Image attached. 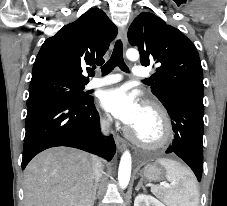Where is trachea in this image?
Segmentation results:
<instances>
[{
    "mask_svg": "<svg viewBox=\"0 0 227 206\" xmlns=\"http://www.w3.org/2000/svg\"><path fill=\"white\" fill-rule=\"evenodd\" d=\"M116 66H118L124 72H129L128 67L123 60V45L121 40L116 41L110 59L104 66H102V74H109Z\"/></svg>",
    "mask_w": 227,
    "mask_h": 206,
    "instance_id": "obj_1",
    "label": "trachea"
}]
</instances>
